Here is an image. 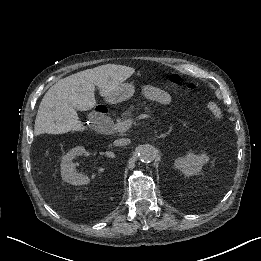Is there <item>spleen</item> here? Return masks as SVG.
Masks as SVG:
<instances>
[{"mask_svg": "<svg viewBox=\"0 0 261 261\" xmlns=\"http://www.w3.org/2000/svg\"><path fill=\"white\" fill-rule=\"evenodd\" d=\"M207 108L212 112L215 120L222 121L224 119V114L216 103L209 102Z\"/></svg>", "mask_w": 261, "mask_h": 261, "instance_id": "spleen-1", "label": "spleen"}]
</instances>
